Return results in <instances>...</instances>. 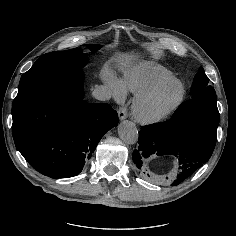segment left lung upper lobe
Returning <instances> with one entry per match:
<instances>
[{"instance_id":"left-lung-upper-lobe-1","label":"left lung upper lobe","mask_w":236,"mask_h":236,"mask_svg":"<svg viewBox=\"0 0 236 236\" xmlns=\"http://www.w3.org/2000/svg\"><path fill=\"white\" fill-rule=\"evenodd\" d=\"M209 78L206 76L204 69L199 68L198 74L195 75L193 85L190 90L191 99L206 98L216 101V93L212 86L208 85Z\"/></svg>"}]
</instances>
